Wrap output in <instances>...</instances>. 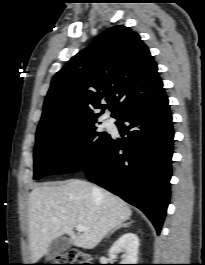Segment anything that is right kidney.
<instances>
[{"mask_svg":"<svg viewBox=\"0 0 205 265\" xmlns=\"http://www.w3.org/2000/svg\"><path fill=\"white\" fill-rule=\"evenodd\" d=\"M139 239L134 233L123 234L114 242L109 250L111 258L116 259L120 252H123L121 264H137L138 261Z\"/></svg>","mask_w":205,"mask_h":265,"instance_id":"obj_1","label":"right kidney"}]
</instances>
